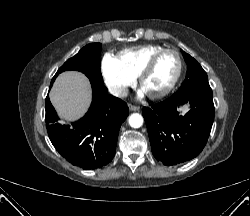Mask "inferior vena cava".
<instances>
[{"mask_svg": "<svg viewBox=\"0 0 250 216\" xmlns=\"http://www.w3.org/2000/svg\"><path fill=\"white\" fill-rule=\"evenodd\" d=\"M109 92L116 97H126L128 95V89L121 86H110Z\"/></svg>", "mask_w": 250, "mask_h": 216, "instance_id": "1", "label": "inferior vena cava"}]
</instances>
